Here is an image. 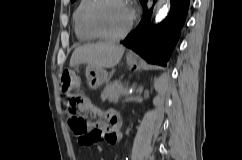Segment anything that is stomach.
Listing matches in <instances>:
<instances>
[{"instance_id":"1","label":"stomach","mask_w":242,"mask_h":160,"mask_svg":"<svg viewBox=\"0 0 242 160\" xmlns=\"http://www.w3.org/2000/svg\"><path fill=\"white\" fill-rule=\"evenodd\" d=\"M127 64L130 68H138L137 59L131 55L127 56ZM87 85L90 89L96 90L108 80V72L103 68H86Z\"/></svg>"}]
</instances>
